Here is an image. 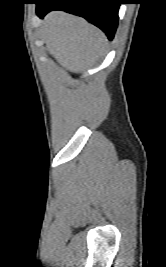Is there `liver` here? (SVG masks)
Listing matches in <instances>:
<instances>
[{
    "instance_id": "obj_1",
    "label": "liver",
    "mask_w": 166,
    "mask_h": 267,
    "mask_svg": "<svg viewBox=\"0 0 166 267\" xmlns=\"http://www.w3.org/2000/svg\"><path fill=\"white\" fill-rule=\"evenodd\" d=\"M47 50L67 70L78 73L103 56L105 34L81 17L51 12L43 22Z\"/></svg>"
}]
</instances>
